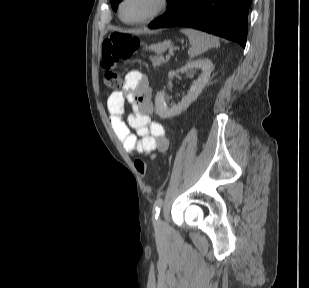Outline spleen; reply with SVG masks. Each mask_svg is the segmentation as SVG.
I'll use <instances>...</instances> for the list:
<instances>
[{
    "label": "spleen",
    "mask_w": 309,
    "mask_h": 288,
    "mask_svg": "<svg viewBox=\"0 0 309 288\" xmlns=\"http://www.w3.org/2000/svg\"><path fill=\"white\" fill-rule=\"evenodd\" d=\"M181 32L189 38L191 47L188 50V55L190 58L197 57L208 49L220 45L217 37L205 32L191 28L182 29Z\"/></svg>",
    "instance_id": "obj_1"
}]
</instances>
